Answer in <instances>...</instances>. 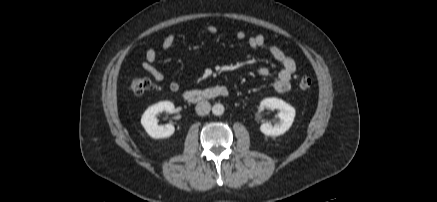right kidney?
<instances>
[{"label": "right kidney", "instance_id": "1", "mask_svg": "<svg viewBox=\"0 0 437 202\" xmlns=\"http://www.w3.org/2000/svg\"><path fill=\"white\" fill-rule=\"evenodd\" d=\"M163 111H174V104L170 101H162L150 106L141 117V124L148 133V135L154 139L168 138L174 131V126L169 123L166 125H158L156 115Z\"/></svg>", "mask_w": 437, "mask_h": 202}]
</instances>
